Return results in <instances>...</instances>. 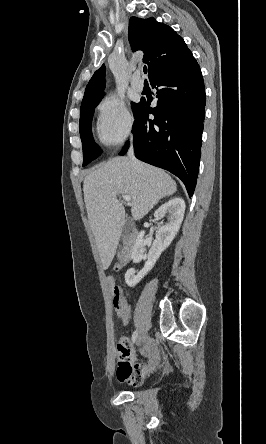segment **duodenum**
Segmentation results:
<instances>
[{
    "label": "duodenum",
    "instance_id": "duodenum-1",
    "mask_svg": "<svg viewBox=\"0 0 266 444\" xmlns=\"http://www.w3.org/2000/svg\"><path fill=\"white\" fill-rule=\"evenodd\" d=\"M134 237H135V231L132 230V231H131V234H130V238L125 242V245H126L127 248H128V246H129L130 240H132ZM126 255H127V254L125 253L124 257H126Z\"/></svg>",
    "mask_w": 266,
    "mask_h": 444
}]
</instances>
